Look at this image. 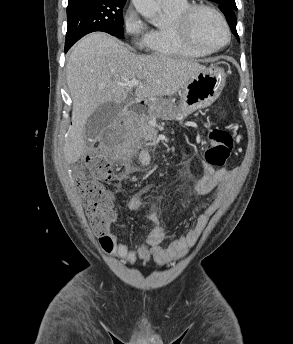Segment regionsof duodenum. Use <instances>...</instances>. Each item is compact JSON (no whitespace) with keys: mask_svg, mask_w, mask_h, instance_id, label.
I'll use <instances>...</instances> for the list:
<instances>
[{"mask_svg":"<svg viewBox=\"0 0 293 344\" xmlns=\"http://www.w3.org/2000/svg\"><path fill=\"white\" fill-rule=\"evenodd\" d=\"M134 110V108H132L131 106L127 107L124 115L121 118V125H124L127 122L128 116L130 115V113Z\"/></svg>","mask_w":293,"mask_h":344,"instance_id":"duodenum-1","label":"duodenum"}]
</instances>
